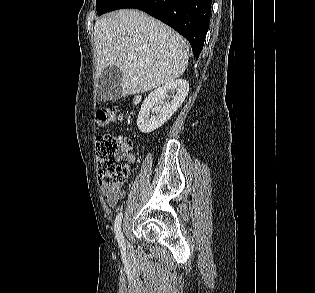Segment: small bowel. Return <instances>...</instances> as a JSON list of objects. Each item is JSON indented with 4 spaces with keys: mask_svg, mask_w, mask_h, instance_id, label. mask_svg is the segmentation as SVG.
Wrapping results in <instances>:
<instances>
[{
    "mask_svg": "<svg viewBox=\"0 0 315 293\" xmlns=\"http://www.w3.org/2000/svg\"><path fill=\"white\" fill-rule=\"evenodd\" d=\"M101 192L110 205H116L117 202L124 198L125 190L122 185H108L101 183Z\"/></svg>",
    "mask_w": 315,
    "mask_h": 293,
    "instance_id": "small-bowel-1",
    "label": "small bowel"
}]
</instances>
